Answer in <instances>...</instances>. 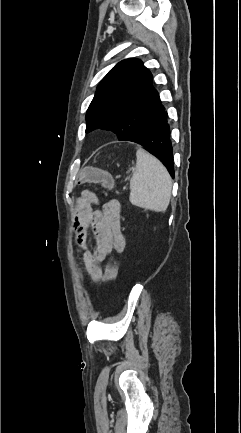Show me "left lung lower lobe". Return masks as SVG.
<instances>
[{
    "mask_svg": "<svg viewBox=\"0 0 241 433\" xmlns=\"http://www.w3.org/2000/svg\"><path fill=\"white\" fill-rule=\"evenodd\" d=\"M126 141L142 145L156 156L174 177L173 148L170 139V126L166 109H162L141 131L131 135Z\"/></svg>",
    "mask_w": 241,
    "mask_h": 433,
    "instance_id": "obj_1",
    "label": "left lung lower lobe"
}]
</instances>
